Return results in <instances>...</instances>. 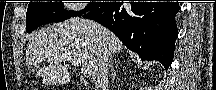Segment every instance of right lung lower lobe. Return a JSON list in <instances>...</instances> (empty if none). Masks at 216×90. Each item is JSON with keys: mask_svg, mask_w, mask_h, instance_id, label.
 Returning <instances> with one entry per match:
<instances>
[{"mask_svg": "<svg viewBox=\"0 0 216 90\" xmlns=\"http://www.w3.org/2000/svg\"><path fill=\"white\" fill-rule=\"evenodd\" d=\"M129 3L131 7H125L123 2H101L83 17L93 19L111 30L141 59L157 60L167 70L173 60L178 36L175 16L179 11V3Z\"/></svg>", "mask_w": 216, "mask_h": 90, "instance_id": "1", "label": "right lung lower lobe"}]
</instances>
